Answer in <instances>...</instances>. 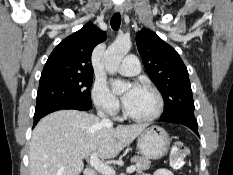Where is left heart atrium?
<instances>
[{
    "mask_svg": "<svg viewBox=\"0 0 233 175\" xmlns=\"http://www.w3.org/2000/svg\"><path fill=\"white\" fill-rule=\"evenodd\" d=\"M141 88L137 84H133L123 95L124 104L128 103Z\"/></svg>",
    "mask_w": 233,
    "mask_h": 175,
    "instance_id": "obj_1",
    "label": "left heart atrium"
}]
</instances>
